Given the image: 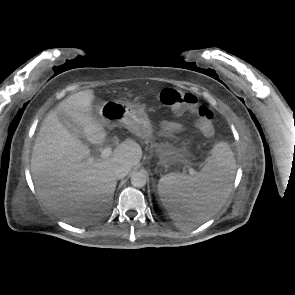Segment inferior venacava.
I'll return each mask as SVG.
<instances>
[{
  "instance_id": "obj_1",
  "label": "inferior vena cava",
  "mask_w": 295,
  "mask_h": 295,
  "mask_svg": "<svg viewBox=\"0 0 295 295\" xmlns=\"http://www.w3.org/2000/svg\"><path fill=\"white\" fill-rule=\"evenodd\" d=\"M130 171L128 166H118L114 171V176L116 179L124 178Z\"/></svg>"
}]
</instances>
